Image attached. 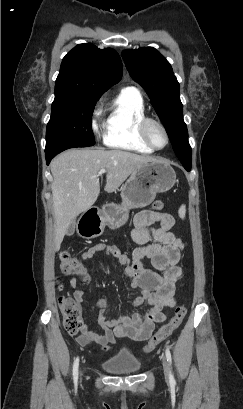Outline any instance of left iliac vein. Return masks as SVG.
I'll return each instance as SVG.
<instances>
[{
    "label": "left iliac vein",
    "instance_id": "obj_1",
    "mask_svg": "<svg viewBox=\"0 0 243 409\" xmlns=\"http://www.w3.org/2000/svg\"><path fill=\"white\" fill-rule=\"evenodd\" d=\"M162 365H163L165 378L168 379L169 378L170 368H169V364H168V362H167V360H166V358L164 356H162Z\"/></svg>",
    "mask_w": 243,
    "mask_h": 409
}]
</instances>
